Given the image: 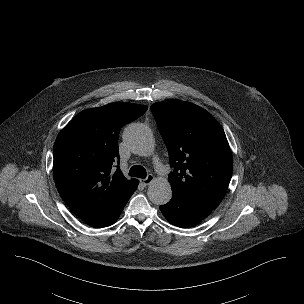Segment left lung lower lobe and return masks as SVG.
Returning <instances> with one entry per match:
<instances>
[{
  "label": "left lung lower lobe",
  "instance_id": "obj_1",
  "mask_svg": "<svg viewBox=\"0 0 304 304\" xmlns=\"http://www.w3.org/2000/svg\"><path fill=\"white\" fill-rule=\"evenodd\" d=\"M159 208L171 224L180 227H189L199 223L213 210L174 194L169 203Z\"/></svg>",
  "mask_w": 304,
  "mask_h": 304
}]
</instances>
